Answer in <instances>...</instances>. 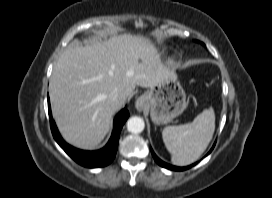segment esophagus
<instances>
[{
  "label": "esophagus",
  "instance_id": "esophagus-1",
  "mask_svg": "<svg viewBox=\"0 0 272 198\" xmlns=\"http://www.w3.org/2000/svg\"><path fill=\"white\" fill-rule=\"evenodd\" d=\"M147 105L146 97L144 95L139 96L135 101V107L138 111H142Z\"/></svg>",
  "mask_w": 272,
  "mask_h": 198
}]
</instances>
